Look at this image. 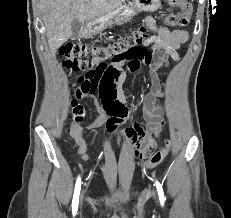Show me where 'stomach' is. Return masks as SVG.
I'll return each mask as SVG.
<instances>
[{
  "label": "stomach",
  "instance_id": "0dacf381",
  "mask_svg": "<svg viewBox=\"0 0 231 218\" xmlns=\"http://www.w3.org/2000/svg\"><path fill=\"white\" fill-rule=\"evenodd\" d=\"M160 7V0H132L129 4L118 7L107 17L99 18L87 25V34L93 35L100 33L110 18H115L117 22L128 21L141 11L153 12Z\"/></svg>",
  "mask_w": 231,
  "mask_h": 218
}]
</instances>
